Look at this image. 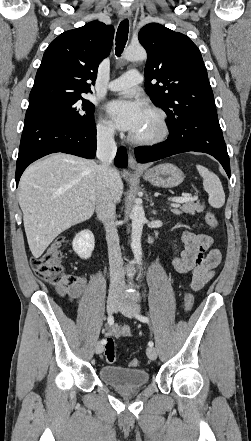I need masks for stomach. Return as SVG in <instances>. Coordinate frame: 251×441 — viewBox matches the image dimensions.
Listing matches in <instances>:
<instances>
[{
  "label": "stomach",
  "mask_w": 251,
  "mask_h": 441,
  "mask_svg": "<svg viewBox=\"0 0 251 441\" xmlns=\"http://www.w3.org/2000/svg\"><path fill=\"white\" fill-rule=\"evenodd\" d=\"M143 178L153 186L173 188L181 184L185 178L184 173L176 165L165 163L152 167L144 172Z\"/></svg>",
  "instance_id": "0dacf381"
}]
</instances>
